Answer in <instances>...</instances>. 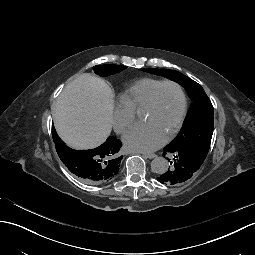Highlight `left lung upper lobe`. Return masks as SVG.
<instances>
[{"label":"left lung upper lobe","mask_w":255,"mask_h":255,"mask_svg":"<svg viewBox=\"0 0 255 255\" xmlns=\"http://www.w3.org/2000/svg\"><path fill=\"white\" fill-rule=\"evenodd\" d=\"M142 70L179 83L193 100L183 129L177 133V139L170 141L169 146L173 150H184L194 154L196 164L204 165L214 129V109L204 89L200 84L178 71L152 68H142Z\"/></svg>","instance_id":"left-lung-upper-lobe-1"}]
</instances>
